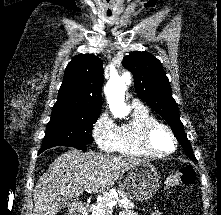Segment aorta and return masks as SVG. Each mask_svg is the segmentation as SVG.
Segmentation results:
<instances>
[{"instance_id":"1","label":"aorta","mask_w":221,"mask_h":215,"mask_svg":"<svg viewBox=\"0 0 221 215\" xmlns=\"http://www.w3.org/2000/svg\"><path fill=\"white\" fill-rule=\"evenodd\" d=\"M126 90L125 81L117 74L110 77L104 88L110 111L115 118H125L129 114L130 109L125 103Z\"/></svg>"}]
</instances>
